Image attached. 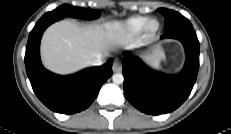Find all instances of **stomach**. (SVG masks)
<instances>
[{"instance_id":"obj_1","label":"stomach","mask_w":231,"mask_h":134,"mask_svg":"<svg viewBox=\"0 0 231 134\" xmlns=\"http://www.w3.org/2000/svg\"><path fill=\"white\" fill-rule=\"evenodd\" d=\"M163 58V55L162 54H158L157 57H155L153 59V61L151 62L152 66H156L158 65L159 61Z\"/></svg>"}]
</instances>
